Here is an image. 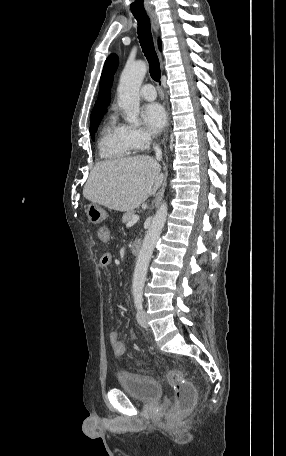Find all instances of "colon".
I'll list each match as a JSON object with an SVG mask.
<instances>
[{
    "label": "colon",
    "mask_w": 286,
    "mask_h": 456,
    "mask_svg": "<svg viewBox=\"0 0 286 456\" xmlns=\"http://www.w3.org/2000/svg\"><path fill=\"white\" fill-rule=\"evenodd\" d=\"M164 377L175 390L176 409L178 411L190 410L196 401V388L192 384L186 383L181 373L176 370L167 372Z\"/></svg>",
    "instance_id": "5ec220e1"
}]
</instances>
